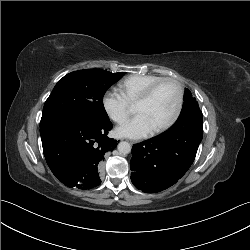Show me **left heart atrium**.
Segmentation results:
<instances>
[{
    "label": "left heart atrium",
    "instance_id": "obj_1",
    "mask_svg": "<svg viewBox=\"0 0 250 250\" xmlns=\"http://www.w3.org/2000/svg\"><path fill=\"white\" fill-rule=\"evenodd\" d=\"M152 131L146 118L141 114H137L132 119L118 126L115 132L119 137L138 139L149 136Z\"/></svg>",
    "mask_w": 250,
    "mask_h": 250
}]
</instances>
